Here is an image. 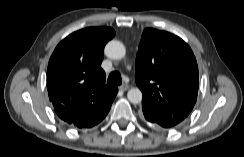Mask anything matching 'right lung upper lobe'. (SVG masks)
Masks as SVG:
<instances>
[{"label": "right lung upper lobe", "mask_w": 244, "mask_h": 157, "mask_svg": "<svg viewBox=\"0 0 244 157\" xmlns=\"http://www.w3.org/2000/svg\"><path fill=\"white\" fill-rule=\"evenodd\" d=\"M110 27H89L70 34L54 50L47 69V89L58 116L77 128H90L108 114L118 92L105 84L100 68Z\"/></svg>", "instance_id": "right-lung-upper-lobe-1"}]
</instances>
